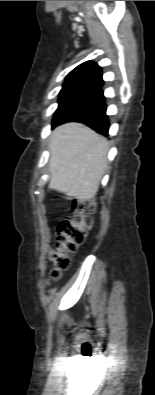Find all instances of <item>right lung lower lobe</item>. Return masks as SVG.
I'll list each match as a JSON object with an SVG mask.
<instances>
[{
	"instance_id": "98d812e1",
	"label": "right lung lower lobe",
	"mask_w": 155,
	"mask_h": 395,
	"mask_svg": "<svg viewBox=\"0 0 155 395\" xmlns=\"http://www.w3.org/2000/svg\"><path fill=\"white\" fill-rule=\"evenodd\" d=\"M69 121H77L86 124L102 135L108 136L109 121L106 115L105 97L103 93L89 106L53 127Z\"/></svg>"
}]
</instances>
